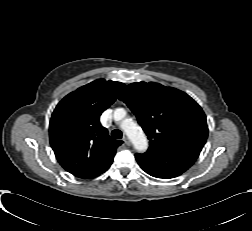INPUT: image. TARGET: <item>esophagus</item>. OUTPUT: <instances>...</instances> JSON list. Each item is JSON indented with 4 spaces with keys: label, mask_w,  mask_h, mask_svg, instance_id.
<instances>
[{
    "label": "esophagus",
    "mask_w": 252,
    "mask_h": 231,
    "mask_svg": "<svg viewBox=\"0 0 252 231\" xmlns=\"http://www.w3.org/2000/svg\"><path fill=\"white\" fill-rule=\"evenodd\" d=\"M123 141H124V144L127 145V146H129L131 144V142H130V140H129V138L127 136L123 137Z\"/></svg>",
    "instance_id": "34e87169"
}]
</instances>
